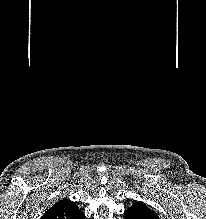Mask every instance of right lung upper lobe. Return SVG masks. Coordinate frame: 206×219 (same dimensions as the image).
<instances>
[{
	"mask_svg": "<svg viewBox=\"0 0 206 219\" xmlns=\"http://www.w3.org/2000/svg\"><path fill=\"white\" fill-rule=\"evenodd\" d=\"M85 215L74 202L63 199L49 208L41 219H84Z\"/></svg>",
	"mask_w": 206,
	"mask_h": 219,
	"instance_id": "cb5924a9",
	"label": "right lung upper lobe"
}]
</instances>
